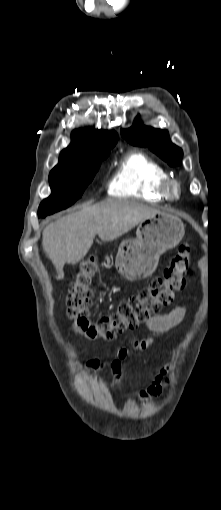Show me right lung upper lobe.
I'll return each instance as SVG.
<instances>
[{
    "mask_svg": "<svg viewBox=\"0 0 221 510\" xmlns=\"http://www.w3.org/2000/svg\"><path fill=\"white\" fill-rule=\"evenodd\" d=\"M114 131L78 129L72 132L71 144L60 154V163L74 162L86 157L104 154L117 143Z\"/></svg>",
    "mask_w": 221,
    "mask_h": 510,
    "instance_id": "1",
    "label": "right lung upper lobe"
}]
</instances>
